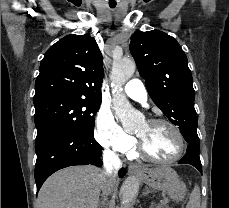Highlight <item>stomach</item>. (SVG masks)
<instances>
[{"label": "stomach", "mask_w": 229, "mask_h": 208, "mask_svg": "<svg viewBox=\"0 0 229 208\" xmlns=\"http://www.w3.org/2000/svg\"><path fill=\"white\" fill-rule=\"evenodd\" d=\"M137 178L153 190H163L174 202H183L187 190L185 184L178 180V176L169 166H156V168H143L138 172Z\"/></svg>", "instance_id": "1"}]
</instances>
